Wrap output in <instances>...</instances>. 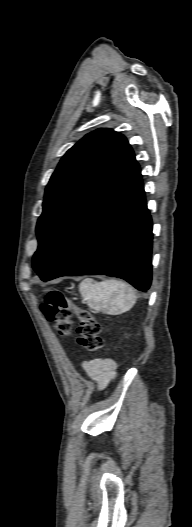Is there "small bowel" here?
Here are the masks:
<instances>
[{"label": "small bowel", "mask_w": 192, "mask_h": 527, "mask_svg": "<svg viewBox=\"0 0 192 527\" xmlns=\"http://www.w3.org/2000/svg\"><path fill=\"white\" fill-rule=\"evenodd\" d=\"M84 372L103 389L115 376L116 364L111 359H94L82 363Z\"/></svg>", "instance_id": "small-bowel-1"}]
</instances>
